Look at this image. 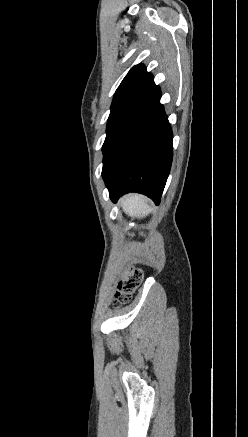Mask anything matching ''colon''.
Segmentation results:
<instances>
[{
  "label": "colon",
  "mask_w": 248,
  "mask_h": 437,
  "mask_svg": "<svg viewBox=\"0 0 248 437\" xmlns=\"http://www.w3.org/2000/svg\"><path fill=\"white\" fill-rule=\"evenodd\" d=\"M144 273L139 268H133L122 275L115 291V306H121L130 301L133 293L142 283Z\"/></svg>",
  "instance_id": "obj_1"
}]
</instances>
